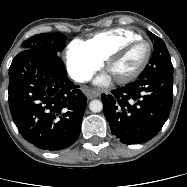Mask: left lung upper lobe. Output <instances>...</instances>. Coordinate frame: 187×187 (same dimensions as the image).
I'll list each match as a JSON object with an SVG mask.
<instances>
[{
    "label": "left lung upper lobe",
    "mask_w": 187,
    "mask_h": 187,
    "mask_svg": "<svg viewBox=\"0 0 187 187\" xmlns=\"http://www.w3.org/2000/svg\"><path fill=\"white\" fill-rule=\"evenodd\" d=\"M147 33L153 41L154 51L149 64L139 75L138 79L173 74V65L164 41L150 31H147Z\"/></svg>",
    "instance_id": "obj_1"
}]
</instances>
